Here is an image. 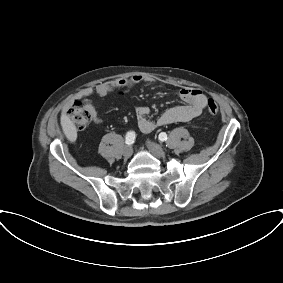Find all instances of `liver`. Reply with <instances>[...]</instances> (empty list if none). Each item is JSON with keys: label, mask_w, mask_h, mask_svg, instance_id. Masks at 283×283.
I'll use <instances>...</instances> for the list:
<instances>
[{"label": "liver", "mask_w": 283, "mask_h": 283, "mask_svg": "<svg viewBox=\"0 0 283 283\" xmlns=\"http://www.w3.org/2000/svg\"><path fill=\"white\" fill-rule=\"evenodd\" d=\"M61 126L67 139L74 142L77 138V130L70 118L65 114L61 115Z\"/></svg>", "instance_id": "liver-1"}]
</instances>
